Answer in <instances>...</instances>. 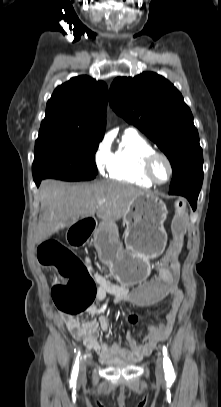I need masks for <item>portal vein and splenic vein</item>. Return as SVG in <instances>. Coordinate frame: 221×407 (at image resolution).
I'll list each match as a JSON object with an SVG mask.
<instances>
[{
	"label": "portal vein and splenic vein",
	"instance_id": "18ae733b",
	"mask_svg": "<svg viewBox=\"0 0 221 407\" xmlns=\"http://www.w3.org/2000/svg\"><path fill=\"white\" fill-rule=\"evenodd\" d=\"M103 203H105V200H99V202H98L99 205H101Z\"/></svg>",
	"mask_w": 221,
	"mask_h": 407
}]
</instances>
